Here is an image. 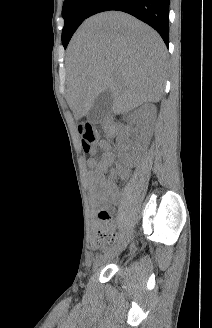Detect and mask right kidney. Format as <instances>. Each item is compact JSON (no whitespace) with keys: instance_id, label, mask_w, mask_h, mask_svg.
<instances>
[{"instance_id":"1","label":"right kidney","mask_w":212,"mask_h":328,"mask_svg":"<svg viewBox=\"0 0 212 328\" xmlns=\"http://www.w3.org/2000/svg\"><path fill=\"white\" fill-rule=\"evenodd\" d=\"M156 107L153 104H144L127 117L130 124H137L140 134L138 142L143 145L152 135L153 125L156 118Z\"/></svg>"}]
</instances>
